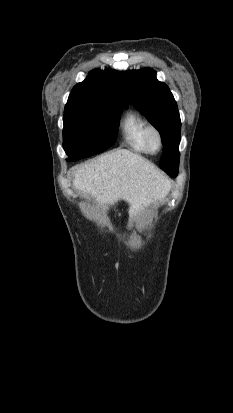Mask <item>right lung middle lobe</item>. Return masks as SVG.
I'll return each instance as SVG.
<instances>
[{
	"mask_svg": "<svg viewBox=\"0 0 233 413\" xmlns=\"http://www.w3.org/2000/svg\"><path fill=\"white\" fill-rule=\"evenodd\" d=\"M124 102L70 98L64 109L63 147L76 161L112 146Z\"/></svg>",
	"mask_w": 233,
	"mask_h": 413,
	"instance_id": "obj_1",
	"label": "right lung middle lobe"
}]
</instances>
